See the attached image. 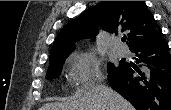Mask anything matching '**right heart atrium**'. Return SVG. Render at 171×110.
I'll use <instances>...</instances> for the list:
<instances>
[{
    "label": "right heart atrium",
    "mask_w": 171,
    "mask_h": 110,
    "mask_svg": "<svg viewBox=\"0 0 171 110\" xmlns=\"http://www.w3.org/2000/svg\"><path fill=\"white\" fill-rule=\"evenodd\" d=\"M100 61L91 53H75L71 58V81L87 89L102 80Z\"/></svg>",
    "instance_id": "1"
}]
</instances>
